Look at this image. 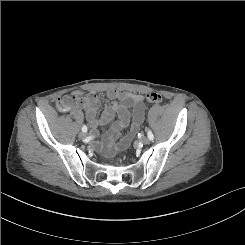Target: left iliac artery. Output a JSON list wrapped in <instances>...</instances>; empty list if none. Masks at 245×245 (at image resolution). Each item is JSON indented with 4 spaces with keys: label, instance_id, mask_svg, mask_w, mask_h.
Masks as SVG:
<instances>
[{
    "label": "left iliac artery",
    "instance_id": "obj_1",
    "mask_svg": "<svg viewBox=\"0 0 245 245\" xmlns=\"http://www.w3.org/2000/svg\"><path fill=\"white\" fill-rule=\"evenodd\" d=\"M147 136H148V138H149L150 140L153 141L154 135H153V133H152L149 129H148V132H147Z\"/></svg>",
    "mask_w": 245,
    "mask_h": 245
}]
</instances>
